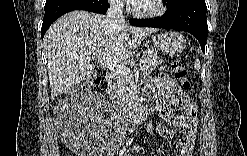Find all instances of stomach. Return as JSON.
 <instances>
[{"label": "stomach", "mask_w": 247, "mask_h": 156, "mask_svg": "<svg viewBox=\"0 0 247 156\" xmlns=\"http://www.w3.org/2000/svg\"><path fill=\"white\" fill-rule=\"evenodd\" d=\"M153 41L158 50L170 55L182 52L186 46L184 35L175 31L161 33L154 37Z\"/></svg>", "instance_id": "1"}]
</instances>
